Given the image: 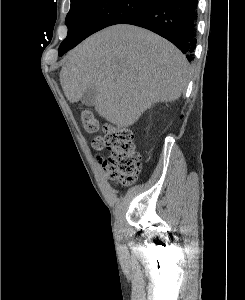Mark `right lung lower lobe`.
I'll return each mask as SVG.
<instances>
[{
  "mask_svg": "<svg viewBox=\"0 0 245 300\" xmlns=\"http://www.w3.org/2000/svg\"><path fill=\"white\" fill-rule=\"evenodd\" d=\"M120 24L140 26L159 34L191 61L196 47L197 0H154Z\"/></svg>",
  "mask_w": 245,
  "mask_h": 300,
  "instance_id": "obj_1",
  "label": "right lung lower lobe"
}]
</instances>
